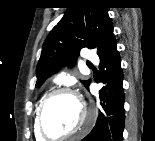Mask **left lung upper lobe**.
Wrapping results in <instances>:
<instances>
[{
  "label": "left lung upper lobe",
  "mask_w": 155,
  "mask_h": 141,
  "mask_svg": "<svg viewBox=\"0 0 155 141\" xmlns=\"http://www.w3.org/2000/svg\"><path fill=\"white\" fill-rule=\"evenodd\" d=\"M103 0H72L63 18L51 30L36 67L39 87L64 65L73 63L83 47H97L99 54L113 34V24ZM88 88L90 80L82 81Z\"/></svg>",
  "instance_id": "5c2ea615"
}]
</instances>
